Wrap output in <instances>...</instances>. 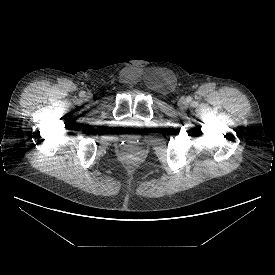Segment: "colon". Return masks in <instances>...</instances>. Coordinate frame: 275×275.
I'll use <instances>...</instances> for the list:
<instances>
[{
	"label": "colon",
	"mask_w": 275,
	"mask_h": 275,
	"mask_svg": "<svg viewBox=\"0 0 275 275\" xmlns=\"http://www.w3.org/2000/svg\"><path fill=\"white\" fill-rule=\"evenodd\" d=\"M127 163H136L141 159V151L136 146L129 147L123 156Z\"/></svg>",
	"instance_id": "1"
}]
</instances>
